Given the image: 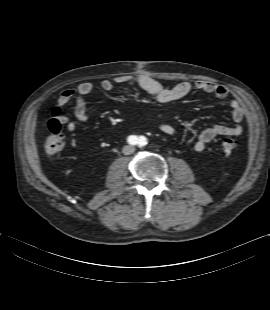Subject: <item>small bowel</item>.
<instances>
[{
  "label": "small bowel",
  "mask_w": 270,
  "mask_h": 310,
  "mask_svg": "<svg viewBox=\"0 0 270 310\" xmlns=\"http://www.w3.org/2000/svg\"><path fill=\"white\" fill-rule=\"evenodd\" d=\"M127 83L137 85L159 103H169L181 100L194 90L212 94L221 100L228 98L230 94L226 86L203 80L196 82H181L173 87H164L158 80L145 74L104 79L97 85L94 82L85 81L80 83L76 89H67L60 94L57 100V105L54 108V110L58 112V120L61 124L66 126L69 132L75 131L77 127L76 122L72 121L64 111L65 106L69 101L74 99L73 115L75 119L78 122H86L88 116L86 112L85 97L87 95L92 93L96 87L103 91H111L117 84ZM229 106L235 124L231 126L216 124L205 128L201 131L194 143V149L196 151H202L207 143L218 136L237 137L242 134L243 128L241 122L245 118V109L241 102L236 98L230 100ZM159 129L166 135H172L175 132V128L168 122H161L159 124Z\"/></svg>",
  "instance_id": "c3829d8e"
}]
</instances>
